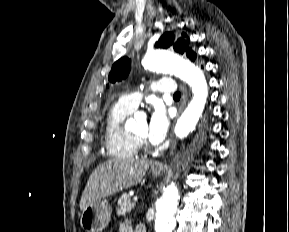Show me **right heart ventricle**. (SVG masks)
I'll return each instance as SVG.
<instances>
[{
    "instance_id": "1",
    "label": "right heart ventricle",
    "mask_w": 289,
    "mask_h": 232,
    "mask_svg": "<svg viewBox=\"0 0 289 232\" xmlns=\"http://www.w3.org/2000/svg\"><path fill=\"white\" fill-rule=\"evenodd\" d=\"M133 112L120 100L109 108L104 127L105 147L112 157L133 158L136 157L140 145L132 134L124 128L126 118Z\"/></svg>"
}]
</instances>
